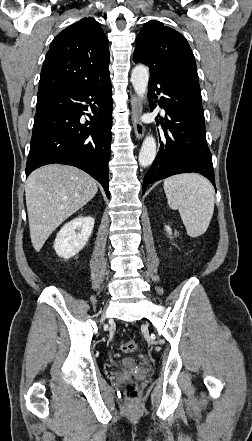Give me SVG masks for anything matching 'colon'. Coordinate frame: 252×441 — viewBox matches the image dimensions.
<instances>
[{
  "label": "colon",
  "instance_id": "colon-1",
  "mask_svg": "<svg viewBox=\"0 0 252 441\" xmlns=\"http://www.w3.org/2000/svg\"><path fill=\"white\" fill-rule=\"evenodd\" d=\"M123 353H132L138 349V344L135 341H127L120 347ZM138 397V389L134 383H129L126 386V398L128 400H134Z\"/></svg>",
  "mask_w": 252,
  "mask_h": 441
}]
</instances>
